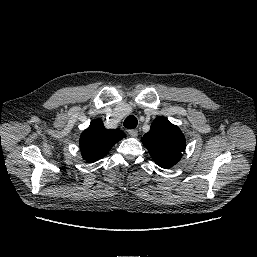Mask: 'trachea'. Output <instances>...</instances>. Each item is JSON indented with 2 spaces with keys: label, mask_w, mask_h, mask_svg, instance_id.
<instances>
[{
  "label": "trachea",
  "mask_w": 257,
  "mask_h": 257,
  "mask_svg": "<svg viewBox=\"0 0 257 257\" xmlns=\"http://www.w3.org/2000/svg\"><path fill=\"white\" fill-rule=\"evenodd\" d=\"M137 124V118L133 115L128 116L123 123L124 127H126L127 129H134L136 128Z\"/></svg>",
  "instance_id": "trachea-1"
}]
</instances>
